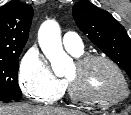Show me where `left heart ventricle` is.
<instances>
[{
    "label": "left heart ventricle",
    "instance_id": "obj_1",
    "mask_svg": "<svg viewBox=\"0 0 131 115\" xmlns=\"http://www.w3.org/2000/svg\"><path fill=\"white\" fill-rule=\"evenodd\" d=\"M77 88L100 98H115L121 95L123 86L116 72L107 64L94 62L79 71L75 65L65 75Z\"/></svg>",
    "mask_w": 131,
    "mask_h": 115
}]
</instances>
